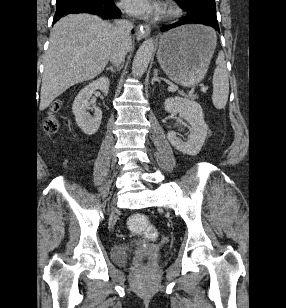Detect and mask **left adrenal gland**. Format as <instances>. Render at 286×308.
Wrapping results in <instances>:
<instances>
[{
  "label": "left adrenal gland",
  "mask_w": 286,
  "mask_h": 308,
  "mask_svg": "<svg viewBox=\"0 0 286 308\" xmlns=\"http://www.w3.org/2000/svg\"><path fill=\"white\" fill-rule=\"evenodd\" d=\"M155 82H158L160 84L161 80L158 77V70H154V76L151 80V84L154 85Z\"/></svg>",
  "instance_id": "a2214340"
}]
</instances>
